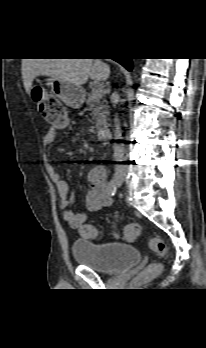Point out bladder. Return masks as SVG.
<instances>
[{"instance_id": "31cf9c89", "label": "bladder", "mask_w": 206, "mask_h": 348, "mask_svg": "<svg viewBox=\"0 0 206 348\" xmlns=\"http://www.w3.org/2000/svg\"><path fill=\"white\" fill-rule=\"evenodd\" d=\"M72 254L78 265L106 274L120 272L138 263L141 258L134 246L118 242L98 244L88 240L75 241Z\"/></svg>"}]
</instances>
